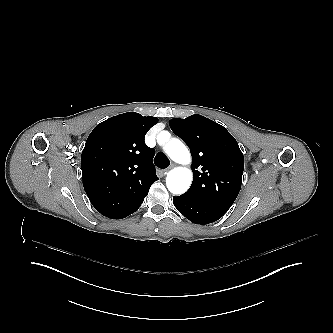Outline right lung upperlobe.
Segmentation results:
<instances>
[{
    "label": "right lung upper lobe",
    "mask_w": 333,
    "mask_h": 333,
    "mask_svg": "<svg viewBox=\"0 0 333 333\" xmlns=\"http://www.w3.org/2000/svg\"><path fill=\"white\" fill-rule=\"evenodd\" d=\"M158 122L156 117H143L128 112L98 124L90 133L81 155V168L103 161L119 177L156 175L155 150L147 147L144 137Z\"/></svg>",
    "instance_id": "1"
}]
</instances>
